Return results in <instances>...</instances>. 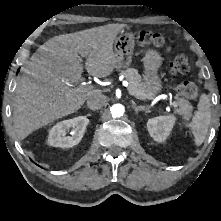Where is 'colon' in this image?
<instances>
[{"label": "colon", "mask_w": 221, "mask_h": 221, "mask_svg": "<svg viewBox=\"0 0 221 221\" xmlns=\"http://www.w3.org/2000/svg\"><path fill=\"white\" fill-rule=\"evenodd\" d=\"M138 42L146 46H154L158 48L169 49L166 45V41L161 34L152 32H142L138 36ZM170 71L173 75H182L189 71V63L184 55L176 56L170 62ZM176 91L188 98L195 99L198 95V89L195 83L190 81L179 82L175 86Z\"/></svg>", "instance_id": "obj_1"}]
</instances>
